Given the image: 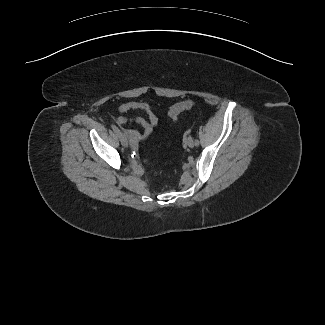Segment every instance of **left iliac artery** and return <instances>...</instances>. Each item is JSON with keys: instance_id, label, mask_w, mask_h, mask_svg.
<instances>
[{"instance_id": "left-iliac-artery-1", "label": "left iliac artery", "mask_w": 325, "mask_h": 325, "mask_svg": "<svg viewBox=\"0 0 325 325\" xmlns=\"http://www.w3.org/2000/svg\"><path fill=\"white\" fill-rule=\"evenodd\" d=\"M195 145L198 146L199 145V141L195 140Z\"/></svg>"}]
</instances>
